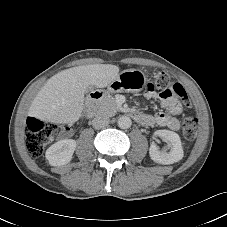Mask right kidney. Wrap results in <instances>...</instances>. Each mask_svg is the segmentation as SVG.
<instances>
[{"label": "right kidney", "instance_id": "right-kidney-1", "mask_svg": "<svg viewBox=\"0 0 227 227\" xmlns=\"http://www.w3.org/2000/svg\"><path fill=\"white\" fill-rule=\"evenodd\" d=\"M76 149V141L63 139L46 150V159L51 166H60L69 163Z\"/></svg>", "mask_w": 227, "mask_h": 227}]
</instances>
